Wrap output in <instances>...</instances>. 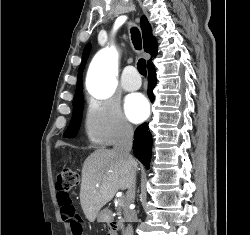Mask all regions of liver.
<instances>
[{
	"label": "liver",
	"instance_id": "1",
	"mask_svg": "<svg viewBox=\"0 0 250 235\" xmlns=\"http://www.w3.org/2000/svg\"><path fill=\"white\" fill-rule=\"evenodd\" d=\"M137 168L135 160L127 165L110 149H98L87 157L82 167L80 203L90 222L119 189L129 188L136 179Z\"/></svg>",
	"mask_w": 250,
	"mask_h": 235
}]
</instances>
